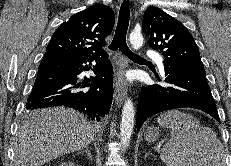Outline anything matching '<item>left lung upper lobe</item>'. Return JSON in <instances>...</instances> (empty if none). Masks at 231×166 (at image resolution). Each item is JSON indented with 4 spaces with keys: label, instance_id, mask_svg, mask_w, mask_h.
Returning a JSON list of instances; mask_svg holds the SVG:
<instances>
[{
    "label": "left lung upper lobe",
    "instance_id": "1",
    "mask_svg": "<svg viewBox=\"0 0 231 166\" xmlns=\"http://www.w3.org/2000/svg\"><path fill=\"white\" fill-rule=\"evenodd\" d=\"M142 30L150 38V47L162 52L164 65L204 70L198 47L188 29L163 10L148 7Z\"/></svg>",
    "mask_w": 231,
    "mask_h": 166
}]
</instances>
